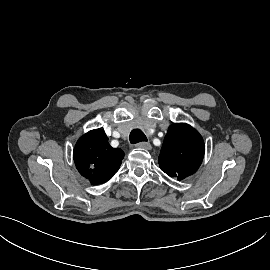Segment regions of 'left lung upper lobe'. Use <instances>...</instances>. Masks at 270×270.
<instances>
[{
    "instance_id": "5c2ea615",
    "label": "left lung upper lobe",
    "mask_w": 270,
    "mask_h": 270,
    "mask_svg": "<svg viewBox=\"0 0 270 270\" xmlns=\"http://www.w3.org/2000/svg\"><path fill=\"white\" fill-rule=\"evenodd\" d=\"M204 152V141L194 128L185 123H174L164 138L159 166L169 176L182 180L197 171Z\"/></svg>"
}]
</instances>
